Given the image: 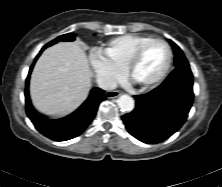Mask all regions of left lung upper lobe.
Returning a JSON list of instances; mask_svg holds the SVG:
<instances>
[{
    "label": "left lung upper lobe",
    "instance_id": "5c2ea615",
    "mask_svg": "<svg viewBox=\"0 0 222 187\" xmlns=\"http://www.w3.org/2000/svg\"><path fill=\"white\" fill-rule=\"evenodd\" d=\"M169 43L171 44L173 51H174V65L175 68L179 67V66H189V63L187 61V59L184 56L183 51L171 40H168Z\"/></svg>",
    "mask_w": 222,
    "mask_h": 187
}]
</instances>
